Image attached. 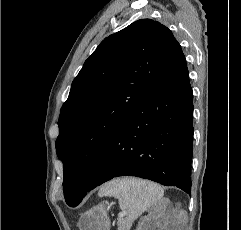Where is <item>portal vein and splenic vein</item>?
<instances>
[{
    "label": "portal vein and splenic vein",
    "instance_id": "portal-vein-and-splenic-vein-1",
    "mask_svg": "<svg viewBox=\"0 0 241 230\" xmlns=\"http://www.w3.org/2000/svg\"><path fill=\"white\" fill-rule=\"evenodd\" d=\"M125 215H126V213H125V212L120 213V214H119V218L121 219V218H123Z\"/></svg>",
    "mask_w": 241,
    "mask_h": 230
}]
</instances>
